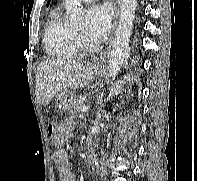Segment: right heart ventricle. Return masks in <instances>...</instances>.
<instances>
[{
	"mask_svg": "<svg viewBox=\"0 0 197 181\" xmlns=\"http://www.w3.org/2000/svg\"><path fill=\"white\" fill-rule=\"evenodd\" d=\"M44 44L47 53L54 58H73L80 53L76 29L57 13L47 22Z\"/></svg>",
	"mask_w": 197,
	"mask_h": 181,
	"instance_id": "right-heart-ventricle-1",
	"label": "right heart ventricle"
}]
</instances>
